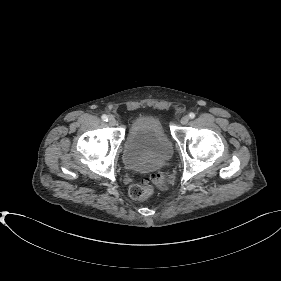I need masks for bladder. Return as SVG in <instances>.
I'll return each instance as SVG.
<instances>
[{
    "label": "bladder",
    "mask_w": 281,
    "mask_h": 281,
    "mask_svg": "<svg viewBox=\"0 0 281 281\" xmlns=\"http://www.w3.org/2000/svg\"><path fill=\"white\" fill-rule=\"evenodd\" d=\"M173 154L161 120L155 116L135 118L126 137L124 162L137 171H151L166 165Z\"/></svg>",
    "instance_id": "obj_1"
}]
</instances>
